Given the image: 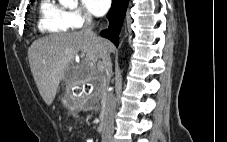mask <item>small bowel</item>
I'll return each mask as SVG.
<instances>
[{"instance_id":"c3829d8e","label":"small bowel","mask_w":227,"mask_h":142,"mask_svg":"<svg viewBox=\"0 0 227 142\" xmlns=\"http://www.w3.org/2000/svg\"><path fill=\"white\" fill-rule=\"evenodd\" d=\"M85 142H93L92 139H86Z\"/></svg>"}]
</instances>
